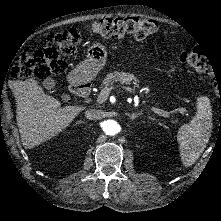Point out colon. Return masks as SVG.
<instances>
[{
  "label": "colon",
  "mask_w": 221,
  "mask_h": 221,
  "mask_svg": "<svg viewBox=\"0 0 221 221\" xmlns=\"http://www.w3.org/2000/svg\"><path fill=\"white\" fill-rule=\"evenodd\" d=\"M88 28L105 38L122 37L128 34L142 40L156 34L158 30L154 21L139 16L107 17L93 21ZM80 42L81 34L77 30L47 34L46 43L49 47L19 55L11 70V77L25 79L36 76L42 80H52L53 75L62 72L66 67L60 57L73 55ZM179 58L199 73H211L210 60L199 51H185Z\"/></svg>",
  "instance_id": "colon-1"
}]
</instances>
